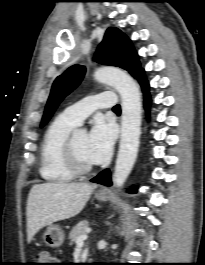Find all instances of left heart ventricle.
I'll use <instances>...</instances> for the list:
<instances>
[{
  "mask_svg": "<svg viewBox=\"0 0 205 265\" xmlns=\"http://www.w3.org/2000/svg\"><path fill=\"white\" fill-rule=\"evenodd\" d=\"M88 135L85 133H77L74 136V145L79 160L86 165L93 164L88 158L86 146Z\"/></svg>",
  "mask_w": 205,
  "mask_h": 265,
  "instance_id": "obj_1",
  "label": "left heart ventricle"
}]
</instances>
